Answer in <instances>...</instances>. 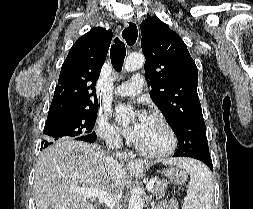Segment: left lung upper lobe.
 <instances>
[{
	"instance_id": "obj_1",
	"label": "left lung upper lobe",
	"mask_w": 253,
	"mask_h": 209,
	"mask_svg": "<svg viewBox=\"0 0 253 209\" xmlns=\"http://www.w3.org/2000/svg\"><path fill=\"white\" fill-rule=\"evenodd\" d=\"M151 98L179 141L176 156H210L199 101L198 70L181 37L157 17L141 25Z\"/></svg>"
}]
</instances>
